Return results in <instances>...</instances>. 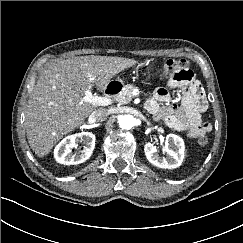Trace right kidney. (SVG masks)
Wrapping results in <instances>:
<instances>
[{"instance_id":"1","label":"right kidney","mask_w":243,"mask_h":243,"mask_svg":"<svg viewBox=\"0 0 243 243\" xmlns=\"http://www.w3.org/2000/svg\"><path fill=\"white\" fill-rule=\"evenodd\" d=\"M95 135L91 132H81L65 137L54 149L56 161L64 165H76L90 158L95 147ZM78 143L83 144V150L73 153Z\"/></svg>"}]
</instances>
